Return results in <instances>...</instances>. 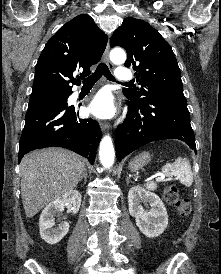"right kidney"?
Here are the masks:
<instances>
[{
  "label": "right kidney",
  "instance_id": "right-kidney-1",
  "mask_svg": "<svg viewBox=\"0 0 221 274\" xmlns=\"http://www.w3.org/2000/svg\"><path fill=\"white\" fill-rule=\"evenodd\" d=\"M80 205L81 194L77 190L69 191L49 203L42 211L39 219L41 238L51 245L61 241L69 231V223L64 221L57 228H53L55 225L54 216L62 212L65 207H68L73 214H76L79 211Z\"/></svg>",
  "mask_w": 221,
  "mask_h": 274
}]
</instances>
